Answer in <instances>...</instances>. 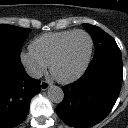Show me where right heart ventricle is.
<instances>
[{"mask_svg":"<svg viewBox=\"0 0 128 128\" xmlns=\"http://www.w3.org/2000/svg\"><path fill=\"white\" fill-rule=\"evenodd\" d=\"M74 30L46 33L36 37L30 44V51L46 66L50 65L60 44Z\"/></svg>","mask_w":128,"mask_h":128,"instance_id":"right-heart-ventricle-1","label":"right heart ventricle"}]
</instances>
